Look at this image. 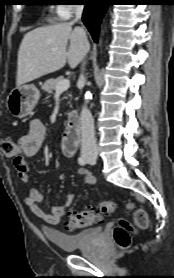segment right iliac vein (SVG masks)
I'll use <instances>...</instances> for the list:
<instances>
[{
	"label": "right iliac vein",
	"instance_id": "63e3f726",
	"mask_svg": "<svg viewBox=\"0 0 174 278\" xmlns=\"http://www.w3.org/2000/svg\"><path fill=\"white\" fill-rule=\"evenodd\" d=\"M97 157V153L96 152H93V153H90L87 155V158H93V159H96Z\"/></svg>",
	"mask_w": 174,
	"mask_h": 278
}]
</instances>
